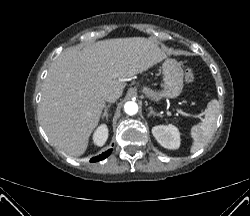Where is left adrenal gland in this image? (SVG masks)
<instances>
[{
    "instance_id": "1",
    "label": "left adrenal gland",
    "mask_w": 250,
    "mask_h": 216,
    "mask_svg": "<svg viewBox=\"0 0 250 216\" xmlns=\"http://www.w3.org/2000/svg\"><path fill=\"white\" fill-rule=\"evenodd\" d=\"M150 112H149V116L153 115V116H159V117H162V115L160 113H156L152 107H148Z\"/></svg>"
}]
</instances>
